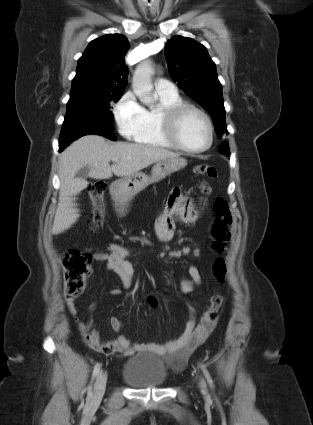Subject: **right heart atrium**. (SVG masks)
<instances>
[{
  "label": "right heart atrium",
  "mask_w": 313,
  "mask_h": 425,
  "mask_svg": "<svg viewBox=\"0 0 313 425\" xmlns=\"http://www.w3.org/2000/svg\"><path fill=\"white\" fill-rule=\"evenodd\" d=\"M113 113L119 132L126 138L135 139L146 127V109L132 92L119 99Z\"/></svg>",
  "instance_id": "d8ad5b80"
}]
</instances>
